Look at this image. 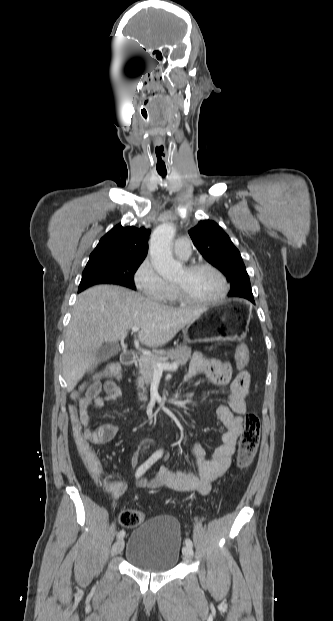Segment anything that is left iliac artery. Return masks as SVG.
<instances>
[{"label": "left iliac artery", "instance_id": "44dca946", "mask_svg": "<svg viewBox=\"0 0 333 621\" xmlns=\"http://www.w3.org/2000/svg\"><path fill=\"white\" fill-rule=\"evenodd\" d=\"M185 544H186V546H189V547H191V548L193 547V543H192L191 539H189V538H187V539L185 540Z\"/></svg>", "mask_w": 333, "mask_h": 621}]
</instances>
